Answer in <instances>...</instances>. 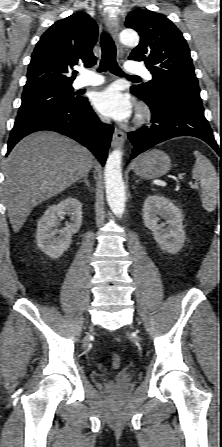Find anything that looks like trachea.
<instances>
[{"instance_id": "1", "label": "trachea", "mask_w": 222, "mask_h": 447, "mask_svg": "<svg viewBox=\"0 0 222 447\" xmlns=\"http://www.w3.org/2000/svg\"><path fill=\"white\" fill-rule=\"evenodd\" d=\"M101 49L102 58L98 72H105L110 70L117 76H125L127 78L140 79L135 75H126L116 62V47L111 36L107 32H103L101 35Z\"/></svg>"}]
</instances>
